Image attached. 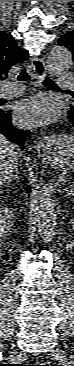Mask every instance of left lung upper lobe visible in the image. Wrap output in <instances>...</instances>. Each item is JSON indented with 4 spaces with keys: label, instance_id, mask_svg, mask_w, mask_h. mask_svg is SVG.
I'll return each instance as SVG.
<instances>
[{
    "label": "left lung upper lobe",
    "instance_id": "1",
    "mask_svg": "<svg viewBox=\"0 0 74 366\" xmlns=\"http://www.w3.org/2000/svg\"><path fill=\"white\" fill-rule=\"evenodd\" d=\"M58 45L64 46L67 49H69L72 53V57H73V61H74V31L67 32L62 37H60L58 39ZM71 95L74 97V91L71 92Z\"/></svg>",
    "mask_w": 74,
    "mask_h": 366
}]
</instances>
